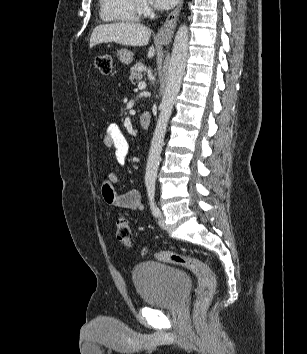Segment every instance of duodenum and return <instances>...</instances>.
Listing matches in <instances>:
<instances>
[{"label":"duodenum","instance_id":"obj_1","mask_svg":"<svg viewBox=\"0 0 307 354\" xmlns=\"http://www.w3.org/2000/svg\"><path fill=\"white\" fill-rule=\"evenodd\" d=\"M151 120H152L151 114L149 112H144L139 118V123L142 128L148 129L150 127Z\"/></svg>","mask_w":307,"mask_h":354}]
</instances>
